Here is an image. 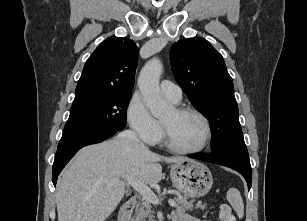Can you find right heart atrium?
Segmentation results:
<instances>
[{
  "label": "right heart atrium",
  "instance_id": "right-heart-atrium-1",
  "mask_svg": "<svg viewBox=\"0 0 307 221\" xmlns=\"http://www.w3.org/2000/svg\"><path fill=\"white\" fill-rule=\"evenodd\" d=\"M127 120L130 128L143 142L153 145L160 141L161 124L152 116L139 94L133 95L128 103Z\"/></svg>",
  "mask_w": 307,
  "mask_h": 221
}]
</instances>
